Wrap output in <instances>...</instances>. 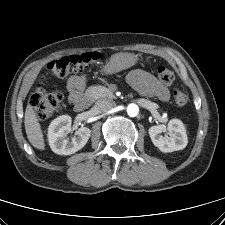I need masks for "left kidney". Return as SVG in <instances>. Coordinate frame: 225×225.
I'll list each match as a JSON object with an SVG mask.
<instances>
[{
	"instance_id": "5707ae66",
	"label": "left kidney",
	"mask_w": 225,
	"mask_h": 225,
	"mask_svg": "<svg viewBox=\"0 0 225 225\" xmlns=\"http://www.w3.org/2000/svg\"><path fill=\"white\" fill-rule=\"evenodd\" d=\"M166 130L170 137L162 138L161 133ZM148 133L154 146L164 153L182 150L188 143L185 127L178 119L170 120L167 128L164 125L151 126Z\"/></svg>"
}]
</instances>
